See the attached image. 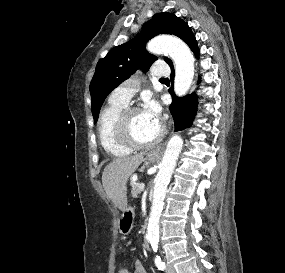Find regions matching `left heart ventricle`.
Returning a JSON list of instances; mask_svg holds the SVG:
<instances>
[{"label": "left heart ventricle", "mask_w": 285, "mask_h": 273, "mask_svg": "<svg viewBox=\"0 0 285 273\" xmlns=\"http://www.w3.org/2000/svg\"><path fill=\"white\" fill-rule=\"evenodd\" d=\"M159 129L160 123L147 118L142 111L133 113L129 118L130 133L137 141H151L158 135Z\"/></svg>", "instance_id": "b2bd125f"}]
</instances>
